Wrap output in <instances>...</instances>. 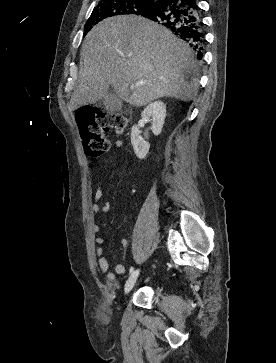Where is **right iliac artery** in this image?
<instances>
[{"label":"right iliac artery","mask_w":276,"mask_h":363,"mask_svg":"<svg viewBox=\"0 0 276 363\" xmlns=\"http://www.w3.org/2000/svg\"><path fill=\"white\" fill-rule=\"evenodd\" d=\"M133 273V267L130 268L129 274Z\"/></svg>","instance_id":"right-iliac-artery-1"}]
</instances>
